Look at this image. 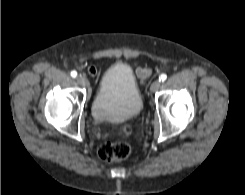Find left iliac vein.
<instances>
[{
	"instance_id": "1",
	"label": "left iliac vein",
	"mask_w": 245,
	"mask_h": 195,
	"mask_svg": "<svg viewBox=\"0 0 245 195\" xmlns=\"http://www.w3.org/2000/svg\"><path fill=\"white\" fill-rule=\"evenodd\" d=\"M161 86V81L160 80H155L152 84H151V92H156Z\"/></svg>"
}]
</instances>
